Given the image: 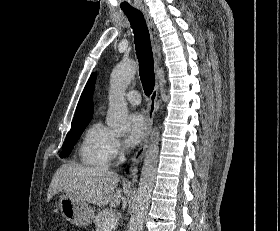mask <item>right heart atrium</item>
<instances>
[{"instance_id":"d8ad5b80","label":"right heart atrium","mask_w":280,"mask_h":231,"mask_svg":"<svg viewBox=\"0 0 280 231\" xmlns=\"http://www.w3.org/2000/svg\"><path fill=\"white\" fill-rule=\"evenodd\" d=\"M122 144L119 139L112 137L110 142V153L112 158H117L122 153Z\"/></svg>"}]
</instances>
